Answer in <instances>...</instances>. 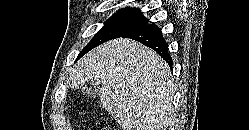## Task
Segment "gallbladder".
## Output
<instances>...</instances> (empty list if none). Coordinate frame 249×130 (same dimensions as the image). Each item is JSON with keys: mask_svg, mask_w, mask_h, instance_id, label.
Returning <instances> with one entry per match:
<instances>
[{"mask_svg": "<svg viewBox=\"0 0 249 130\" xmlns=\"http://www.w3.org/2000/svg\"><path fill=\"white\" fill-rule=\"evenodd\" d=\"M82 93L88 98L100 96L99 84L96 81H88L82 87Z\"/></svg>", "mask_w": 249, "mask_h": 130, "instance_id": "gallbladder-1", "label": "gallbladder"}]
</instances>
